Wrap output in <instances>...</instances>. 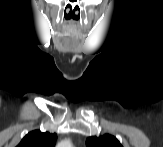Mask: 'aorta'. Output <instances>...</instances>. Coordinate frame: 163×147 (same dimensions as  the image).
Here are the masks:
<instances>
[{
	"mask_svg": "<svg viewBox=\"0 0 163 147\" xmlns=\"http://www.w3.org/2000/svg\"><path fill=\"white\" fill-rule=\"evenodd\" d=\"M59 147H71V142L69 140H64L58 144Z\"/></svg>",
	"mask_w": 163,
	"mask_h": 147,
	"instance_id": "aorta-1",
	"label": "aorta"
}]
</instances>
